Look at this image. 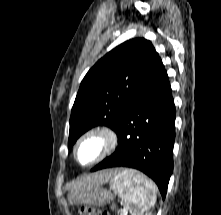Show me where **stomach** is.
Wrapping results in <instances>:
<instances>
[{
	"label": "stomach",
	"instance_id": "obj_1",
	"mask_svg": "<svg viewBox=\"0 0 221 215\" xmlns=\"http://www.w3.org/2000/svg\"><path fill=\"white\" fill-rule=\"evenodd\" d=\"M114 195L101 185L71 190L68 201L71 205L103 206L113 201Z\"/></svg>",
	"mask_w": 221,
	"mask_h": 215
}]
</instances>
